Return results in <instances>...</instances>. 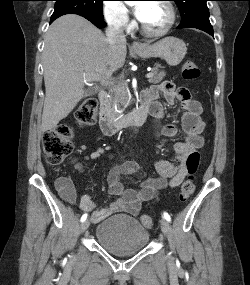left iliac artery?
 <instances>
[{"label":"left iliac artery","instance_id":"1","mask_svg":"<svg viewBox=\"0 0 250 285\" xmlns=\"http://www.w3.org/2000/svg\"><path fill=\"white\" fill-rule=\"evenodd\" d=\"M163 215H164V218H165L167 221H171V217H170V215H169L167 212H164Z\"/></svg>","mask_w":250,"mask_h":285}]
</instances>
